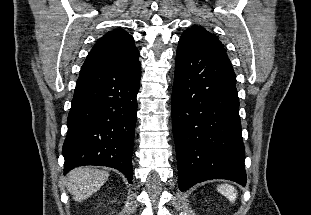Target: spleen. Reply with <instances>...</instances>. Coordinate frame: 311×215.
Masks as SVG:
<instances>
[{"label": "spleen", "instance_id": "obj_1", "mask_svg": "<svg viewBox=\"0 0 311 215\" xmlns=\"http://www.w3.org/2000/svg\"><path fill=\"white\" fill-rule=\"evenodd\" d=\"M217 189L221 194H223L226 198H228L229 201L235 202L237 198V192L233 186L227 185V184H221L218 186Z\"/></svg>", "mask_w": 311, "mask_h": 215}]
</instances>
